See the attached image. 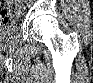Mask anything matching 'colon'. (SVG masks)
I'll return each mask as SVG.
<instances>
[{"label": "colon", "instance_id": "obj_1", "mask_svg": "<svg viewBox=\"0 0 93 83\" xmlns=\"http://www.w3.org/2000/svg\"><path fill=\"white\" fill-rule=\"evenodd\" d=\"M15 9L12 7H3L0 12V20L3 25H8L13 21Z\"/></svg>", "mask_w": 93, "mask_h": 83}]
</instances>
